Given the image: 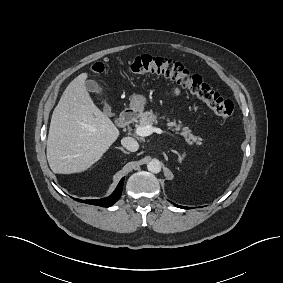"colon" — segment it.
Returning <instances> with one entry per match:
<instances>
[{"label": "colon", "mask_w": 283, "mask_h": 283, "mask_svg": "<svg viewBox=\"0 0 283 283\" xmlns=\"http://www.w3.org/2000/svg\"><path fill=\"white\" fill-rule=\"evenodd\" d=\"M101 63H95L91 70L96 73L103 71ZM128 70L132 74L144 75L149 73L161 74L193 95L201 99L216 115L228 119L234 114V104L224 99L214 91L200 76L193 75L181 63L162 57L142 55L130 61Z\"/></svg>", "instance_id": "1"}]
</instances>
